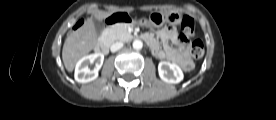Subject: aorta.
Listing matches in <instances>:
<instances>
[{"mask_svg":"<svg viewBox=\"0 0 276 120\" xmlns=\"http://www.w3.org/2000/svg\"><path fill=\"white\" fill-rule=\"evenodd\" d=\"M143 47V42L141 40H134L133 41V48L136 50H140Z\"/></svg>","mask_w":276,"mask_h":120,"instance_id":"obj_1","label":"aorta"}]
</instances>
